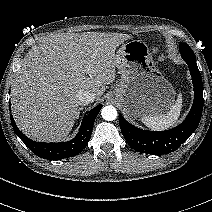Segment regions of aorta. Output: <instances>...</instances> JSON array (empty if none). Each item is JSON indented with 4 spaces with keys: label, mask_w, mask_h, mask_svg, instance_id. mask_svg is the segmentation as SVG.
Here are the masks:
<instances>
[{
    "label": "aorta",
    "mask_w": 212,
    "mask_h": 212,
    "mask_svg": "<svg viewBox=\"0 0 212 212\" xmlns=\"http://www.w3.org/2000/svg\"><path fill=\"white\" fill-rule=\"evenodd\" d=\"M102 118L106 121H113L117 118V110L114 106H104L101 110Z\"/></svg>",
    "instance_id": "762f6f07"
}]
</instances>
